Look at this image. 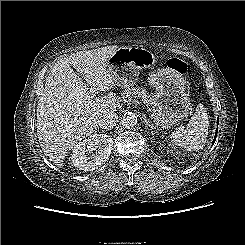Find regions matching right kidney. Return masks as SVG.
I'll use <instances>...</instances> for the list:
<instances>
[{"mask_svg":"<svg viewBox=\"0 0 245 245\" xmlns=\"http://www.w3.org/2000/svg\"><path fill=\"white\" fill-rule=\"evenodd\" d=\"M112 146L110 136L93 134L74 146L71 154L72 165L84 171L95 170L108 160Z\"/></svg>","mask_w":245,"mask_h":245,"instance_id":"obj_1","label":"right kidney"}]
</instances>
